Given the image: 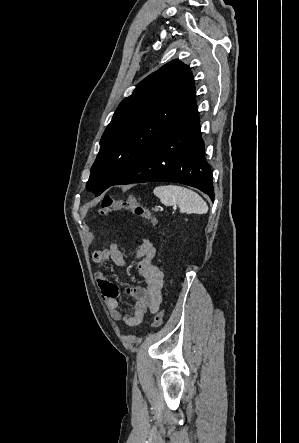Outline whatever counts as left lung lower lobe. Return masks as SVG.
I'll return each instance as SVG.
<instances>
[{
    "instance_id": "obj_1",
    "label": "left lung lower lobe",
    "mask_w": 299,
    "mask_h": 443,
    "mask_svg": "<svg viewBox=\"0 0 299 443\" xmlns=\"http://www.w3.org/2000/svg\"><path fill=\"white\" fill-rule=\"evenodd\" d=\"M160 181L193 186L214 198L197 106L112 185Z\"/></svg>"
}]
</instances>
